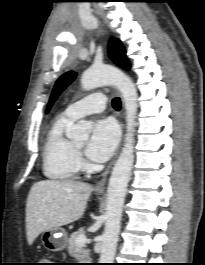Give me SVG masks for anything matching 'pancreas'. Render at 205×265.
<instances>
[{"label": "pancreas", "mask_w": 205, "mask_h": 265, "mask_svg": "<svg viewBox=\"0 0 205 265\" xmlns=\"http://www.w3.org/2000/svg\"><path fill=\"white\" fill-rule=\"evenodd\" d=\"M84 234V230L80 229L70 235L68 238V252L69 254L74 257L76 260H79L80 263H88L90 258V251L85 248V246H77L76 238L79 235Z\"/></svg>", "instance_id": "1"}]
</instances>
